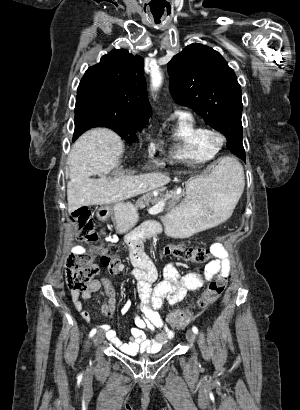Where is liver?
Listing matches in <instances>:
<instances>
[{
	"mask_svg": "<svg viewBox=\"0 0 300 410\" xmlns=\"http://www.w3.org/2000/svg\"><path fill=\"white\" fill-rule=\"evenodd\" d=\"M124 152V144L112 130L95 128L74 143L68 162L71 180L67 184L68 212L82 206L119 203L162 187L170 178L161 172L106 177ZM99 175L98 179L90 178Z\"/></svg>",
	"mask_w": 300,
	"mask_h": 410,
	"instance_id": "6515ba94",
	"label": "liver"
}]
</instances>
